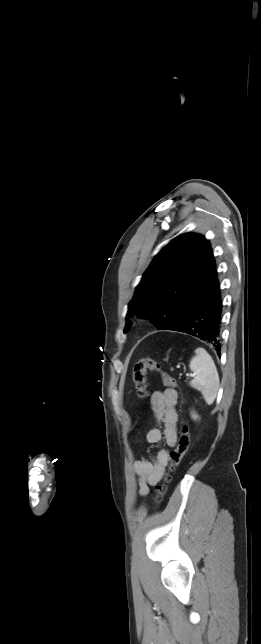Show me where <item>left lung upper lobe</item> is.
Instances as JSON below:
<instances>
[{"mask_svg":"<svg viewBox=\"0 0 261 644\" xmlns=\"http://www.w3.org/2000/svg\"><path fill=\"white\" fill-rule=\"evenodd\" d=\"M218 277L210 243L202 235L186 233L164 247L148 269L128 305L127 317L137 313L166 329L214 284ZM127 321L125 330L131 326Z\"/></svg>","mask_w":261,"mask_h":644,"instance_id":"obj_1","label":"left lung upper lobe"}]
</instances>
